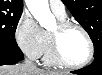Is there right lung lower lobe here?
Returning <instances> with one entry per match:
<instances>
[{
  "label": "right lung lower lobe",
  "instance_id": "obj_1",
  "mask_svg": "<svg viewBox=\"0 0 102 75\" xmlns=\"http://www.w3.org/2000/svg\"><path fill=\"white\" fill-rule=\"evenodd\" d=\"M23 59V53L17 45L0 44V65L15 64Z\"/></svg>",
  "mask_w": 102,
  "mask_h": 75
}]
</instances>
